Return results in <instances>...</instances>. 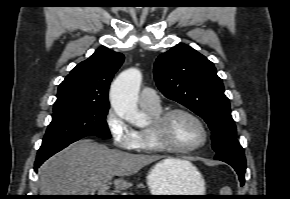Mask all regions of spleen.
<instances>
[{
	"label": "spleen",
	"mask_w": 290,
	"mask_h": 199,
	"mask_svg": "<svg viewBox=\"0 0 290 199\" xmlns=\"http://www.w3.org/2000/svg\"><path fill=\"white\" fill-rule=\"evenodd\" d=\"M221 195H231V189L228 187H224L220 191Z\"/></svg>",
	"instance_id": "spleen-1"
}]
</instances>
